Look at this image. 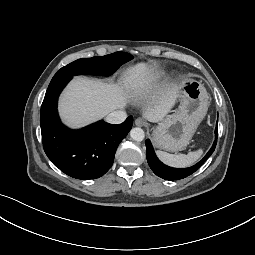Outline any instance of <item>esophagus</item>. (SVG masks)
<instances>
[{"instance_id": "34e87169", "label": "esophagus", "mask_w": 255, "mask_h": 255, "mask_svg": "<svg viewBox=\"0 0 255 255\" xmlns=\"http://www.w3.org/2000/svg\"><path fill=\"white\" fill-rule=\"evenodd\" d=\"M135 125L136 126H139V127H142V126H145L146 125V122L142 119V118H137L135 120Z\"/></svg>"}]
</instances>
